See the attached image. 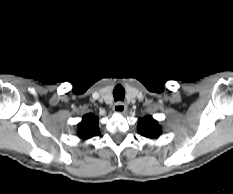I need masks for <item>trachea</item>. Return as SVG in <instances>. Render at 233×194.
Masks as SVG:
<instances>
[{
  "label": "trachea",
  "mask_w": 233,
  "mask_h": 194,
  "mask_svg": "<svg viewBox=\"0 0 233 194\" xmlns=\"http://www.w3.org/2000/svg\"><path fill=\"white\" fill-rule=\"evenodd\" d=\"M113 96L115 101H122L125 98V89L121 84L115 86L113 90Z\"/></svg>",
  "instance_id": "obj_1"
}]
</instances>
